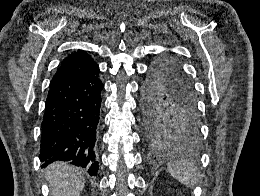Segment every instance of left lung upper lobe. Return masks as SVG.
I'll list each match as a JSON object with an SVG mask.
<instances>
[{
	"label": "left lung upper lobe",
	"instance_id": "1",
	"mask_svg": "<svg viewBox=\"0 0 260 196\" xmlns=\"http://www.w3.org/2000/svg\"><path fill=\"white\" fill-rule=\"evenodd\" d=\"M141 106L144 142L151 151L188 148L201 141L194 88L178 58L163 57L151 65Z\"/></svg>",
	"mask_w": 260,
	"mask_h": 196
}]
</instances>
